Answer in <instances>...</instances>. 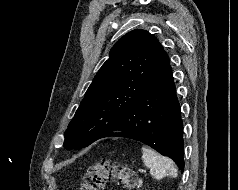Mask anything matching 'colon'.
Instances as JSON below:
<instances>
[{
    "label": "colon",
    "mask_w": 238,
    "mask_h": 190,
    "mask_svg": "<svg viewBox=\"0 0 238 190\" xmlns=\"http://www.w3.org/2000/svg\"><path fill=\"white\" fill-rule=\"evenodd\" d=\"M110 180L131 189L136 185L138 177L136 172L126 165L101 160L88 169L81 190H103Z\"/></svg>",
    "instance_id": "colon-1"
}]
</instances>
